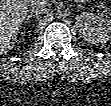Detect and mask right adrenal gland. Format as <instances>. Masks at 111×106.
I'll return each mask as SVG.
<instances>
[{"instance_id":"obj_1","label":"right adrenal gland","mask_w":111,"mask_h":106,"mask_svg":"<svg viewBox=\"0 0 111 106\" xmlns=\"http://www.w3.org/2000/svg\"><path fill=\"white\" fill-rule=\"evenodd\" d=\"M30 18H38V16L34 15V14H30L25 18V20H26L25 22L27 23L30 20Z\"/></svg>"}]
</instances>
